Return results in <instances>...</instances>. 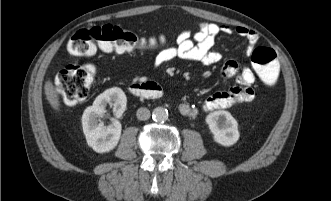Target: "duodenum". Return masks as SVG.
Listing matches in <instances>:
<instances>
[{
    "label": "duodenum",
    "instance_id": "1",
    "mask_svg": "<svg viewBox=\"0 0 331 201\" xmlns=\"http://www.w3.org/2000/svg\"><path fill=\"white\" fill-rule=\"evenodd\" d=\"M129 92L137 97L157 100L163 96L162 89L156 83L131 82L128 85Z\"/></svg>",
    "mask_w": 331,
    "mask_h": 201
}]
</instances>
